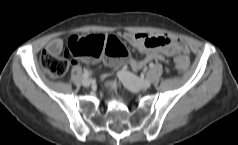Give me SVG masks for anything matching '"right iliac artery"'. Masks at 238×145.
I'll return each instance as SVG.
<instances>
[{
    "label": "right iliac artery",
    "mask_w": 238,
    "mask_h": 145,
    "mask_svg": "<svg viewBox=\"0 0 238 145\" xmlns=\"http://www.w3.org/2000/svg\"><path fill=\"white\" fill-rule=\"evenodd\" d=\"M90 75H91V72H88V71H84L83 73L84 78H88Z\"/></svg>",
    "instance_id": "1"
}]
</instances>
